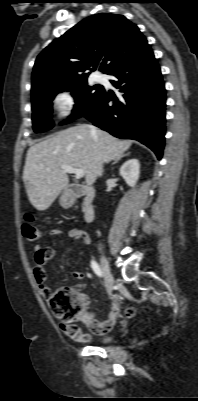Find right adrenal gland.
<instances>
[{"label": "right adrenal gland", "instance_id": "obj_1", "mask_svg": "<svg viewBox=\"0 0 198 401\" xmlns=\"http://www.w3.org/2000/svg\"><path fill=\"white\" fill-rule=\"evenodd\" d=\"M130 155V153H126L125 155H122L121 157H118L117 159L114 160V162L112 163V165L116 164L117 162H119L123 157Z\"/></svg>", "mask_w": 198, "mask_h": 401}]
</instances>
